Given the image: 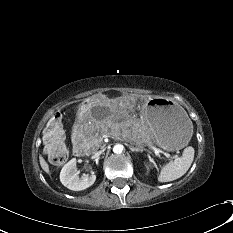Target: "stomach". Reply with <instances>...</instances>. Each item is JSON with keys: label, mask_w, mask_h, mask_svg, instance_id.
Here are the masks:
<instances>
[{"label": "stomach", "mask_w": 233, "mask_h": 233, "mask_svg": "<svg viewBox=\"0 0 233 233\" xmlns=\"http://www.w3.org/2000/svg\"><path fill=\"white\" fill-rule=\"evenodd\" d=\"M121 109L97 98L86 100L80 106L85 121L103 122L116 117ZM149 132L157 145L167 151L186 146L193 133L188 115L178 105L165 98L150 99L144 108Z\"/></svg>", "instance_id": "1"}]
</instances>
